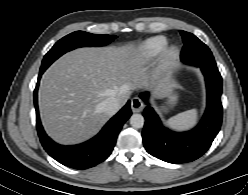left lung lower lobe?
<instances>
[{
  "instance_id": "0a47b994",
  "label": "left lung lower lobe",
  "mask_w": 248,
  "mask_h": 195,
  "mask_svg": "<svg viewBox=\"0 0 248 195\" xmlns=\"http://www.w3.org/2000/svg\"><path fill=\"white\" fill-rule=\"evenodd\" d=\"M205 76L207 88V107L200 123L190 131L174 132L166 128L149 105L143 115L145 125L142 132L146 151L163 161L180 164L201 157L211 146L222 123V78L216 65L200 67ZM149 93H141L140 98L147 101Z\"/></svg>"
}]
</instances>
